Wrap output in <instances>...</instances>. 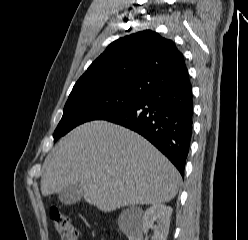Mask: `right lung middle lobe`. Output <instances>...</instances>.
Here are the masks:
<instances>
[{"instance_id":"obj_1","label":"right lung middle lobe","mask_w":248,"mask_h":240,"mask_svg":"<svg viewBox=\"0 0 248 240\" xmlns=\"http://www.w3.org/2000/svg\"><path fill=\"white\" fill-rule=\"evenodd\" d=\"M112 88H81L72 90L64 107L54 141L76 126L91 120L104 119L141 99Z\"/></svg>"}]
</instances>
